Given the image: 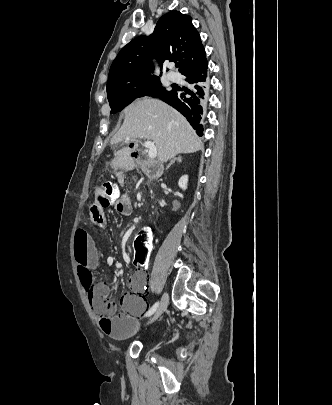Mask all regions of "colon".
Here are the masks:
<instances>
[{
  "label": "colon",
  "mask_w": 332,
  "mask_h": 405,
  "mask_svg": "<svg viewBox=\"0 0 332 405\" xmlns=\"http://www.w3.org/2000/svg\"><path fill=\"white\" fill-rule=\"evenodd\" d=\"M103 192V197H98V192ZM119 196L117 184L103 183L96 192L97 206L93 208H113L115 199ZM98 223H102L100 217H94ZM154 233L152 231L141 230L135 237L133 266L136 270H143L151 260ZM92 307L99 317H109L114 309L115 301L111 295L108 284L98 283L91 287L88 292ZM98 317V318H99Z\"/></svg>",
  "instance_id": "obj_1"
}]
</instances>
